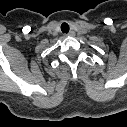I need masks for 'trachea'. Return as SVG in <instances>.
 Returning a JSON list of instances; mask_svg holds the SVG:
<instances>
[{"instance_id":"3493384b","label":"trachea","mask_w":127,"mask_h":127,"mask_svg":"<svg viewBox=\"0 0 127 127\" xmlns=\"http://www.w3.org/2000/svg\"><path fill=\"white\" fill-rule=\"evenodd\" d=\"M61 31L63 32V33H68L69 32V25L67 24V23H62V25H61Z\"/></svg>"}]
</instances>
